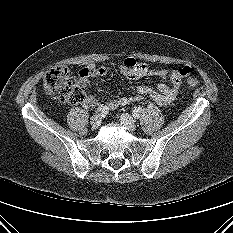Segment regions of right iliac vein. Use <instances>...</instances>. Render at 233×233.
<instances>
[{"instance_id": "obj_1", "label": "right iliac vein", "mask_w": 233, "mask_h": 233, "mask_svg": "<svg viewBox=\"0 0 233 233\" xmlns=\"http://www.w3.org/2000/svg\"><path fill=\"white\" fill-rule=\"evenodd\" d=\"M90 124L93 128H98L101 124V116L99 114H96L91 117Z\"/></svg>"}]
</instances>
